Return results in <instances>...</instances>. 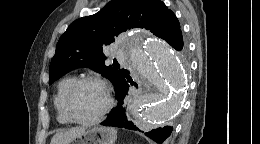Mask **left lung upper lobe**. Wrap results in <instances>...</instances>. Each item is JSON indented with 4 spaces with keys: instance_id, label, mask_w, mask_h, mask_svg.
I'll use <instances>...</instances> for the list:
<instances>
[{
    "instance_id": "left-lung-upper-lobe-1",
    "label": "left lung upper lobe",
    "mask_w": 260,
    "mask_h": 144,
    "mask_svg": "<svg viewBox=\"0 0 260 144\" xmlns=\"http://www.w3.org/2000/svg\"><path fill=\"white\" fill-rule=\"evenodd\" d=\"M133 27L150 30L166 42L181 30L162 1L112 0L96 14L75 20L60 37L49 67V84L74 67H88L108 78L116 90L125 72L104 64L103 48ZM186 50L184 44L181 51Z\"/></svg>"
}]
</instances>
